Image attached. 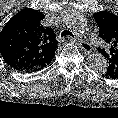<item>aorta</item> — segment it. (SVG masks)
<instances>
[{
	"mask_svg": "<svg viewBox=\"0 0 118 118\" xmlns=\"http://www.w3.org/2000/svg\"><path fill=\"white\" fill-rule=\"evenodd\" d=\"M64 22L68 28L78 34H82L87 29L84 17L75 10H69L64 14ZM88 67L96 73H104L107 69V61L100 53L91 54L87 58Z\"/></svg>",
	"mask_w": 118,
	"mask_h": 118,
	"instance_id": "762f6f07",
	"label": "aorta"
}]
</instances>
